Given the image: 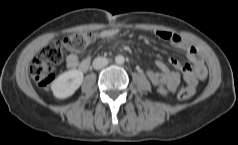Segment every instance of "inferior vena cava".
Returning <instances> with one entry per match:
<instances>
[{
	"label": "inferior vena cava",
	"mask_w": 238,
	"mask_h": 145,
	"mask_svg": "<svg viewBox=\"0 0 238 145\" xmlns=\"http://www.w3.org/2000/svg\"><path fill=\"white\" fill-rule=\"evenodd\" d=\"M93 68L95 70H99V69H102L104 68L105 66L108 65V59L105 58V57H96L94 60H93Z\"/></svg>",
	"instance_id": "inferior-vena-cava-1"
}]
</instances>
